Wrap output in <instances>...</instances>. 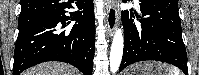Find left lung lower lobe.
Returning a JSON list of instances; mask_svg holds the SVG:
<instances>
[{
  "mask_svg": "<svg viewBox=\"0 0 199 75\" xmlns=\"http://www.w3.org/2000/svg\"><path fill=\"white\" fill-rule=\"evenodd\" d=\"M145 18L134 23L133 12L122 14L124 51L119 72L139 61L156 60L180 68L188 75L187 53L182 39L178 0H140Z\"/></svg>",
  "mask_w": 199,
  "mask_h": 75,
  "instance_id": "0a47b994",
  "label": "left lung lower lobe"
}]
</instances>
